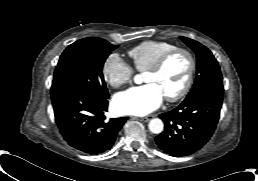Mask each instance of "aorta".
Here are the masks:
<instances>
[{"instance_id": "obj_1", "label": "aorta", "mask_w": 258, "mask_h": 181, "mask_svg": "<svg viewBox=\"0 0 258 181\" xmlns=\"http://www.w3.org/2000/svg\"><path fill=\"white\" fill-rule=\"evenodd\" d=\"M139 79H140V75H136L134 77V81L136 83L139 82ZM148 127H149V130L154 133V134H159L163 131L164 129V124H163V121L159 118H154L152 119L149 124H148Z\"/></svg>"}]
</instances>
